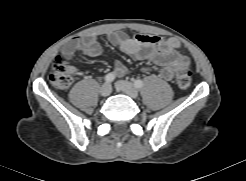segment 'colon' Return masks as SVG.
Segmentation results:
<instances>
[{
	"instance_id": "obj_1",
	"label": "colon",
	"mask_w": 246,
	"mask_h": 181,
	"mask_svg": "<svg viewBox=\"0 0 246 181\" xmlns=\"http://www.w3.org/2000/svg\"><path fill=\"white\" fill-rule=\"evenodd\" d=\"M154 40V37L144 38ZM48 79L56 88H67L73 83L74 69L67 65L65 60L58 56L53 62ZM176 83L182 89H187L191 85V70L188 66L180 67L176 73Z\"/></svg>"
}]
</instances>
